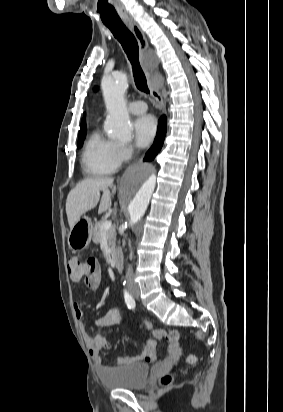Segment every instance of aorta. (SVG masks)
Here are the masks:
<instances>
[{
  "label": "aorta",
  "instance_id": "1",
  "mask_svg": "<svg viewBox=\"0 0 283 412\" xmlns=\"http://www.w3.org/2000/svg\"><path fill=\"white\" fill-rule=\"evenodd\" d=\"M128 82V75L125 72H117L102 81V91L108 111L107 133L111 138L118 140H127L131 137L130 118L125 101ZM155 183V175L147 168L129 170L125 173L121 189L124 198L129 202L131 227L143 217Z\"/></svg>",
  "mask_w": 283,
  "mask_h": 412
}]
</instances>
